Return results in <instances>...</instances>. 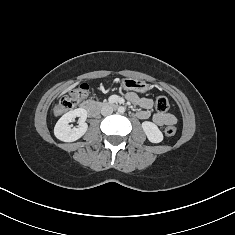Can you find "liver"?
Returning <instances> with one entry per match:
<instances>
[{
    "label": "liver",
    "mask_w": 235,
    "mask_h": 235,
    "mask_svg": "<svg viewBox=\"0 0 235 235\" xmlns=\"http://www.w3.org/2000/svg\"><path fill=\"white\" fill-rule=\"evenodd\" d=\"M76 85H77V83H75V84L71 85L70 87H68L67 89H65V90L63 91V94L66 93V92H68V91H70L71 89H73Z\"/></svg>",
    "instance_id": "1"
}]
</instances>
